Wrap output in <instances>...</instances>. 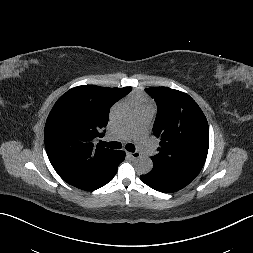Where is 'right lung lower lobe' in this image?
I'll return each instance as SVG.
<instances>
[{
	"instance_id": "right-lung-lower-lobe-1",
	"label": "right lung lower lobe",
	"mask_w": 253,
	"mask_h": 253,
	"mask_svg": "<svg viewBox=\"0 0 253 253\" xmlns=\"http://www.w3.org/2000/svg\"><path fill=\"white\" fill-rule=\"evenodd\" d=\"M125 159L124 151H115L106 159L97 173L86 181H75L68 178L62 179L68 184L82 190H95L110 182L117 172L118 165Z\"/></svg>"
}]
</instances>
